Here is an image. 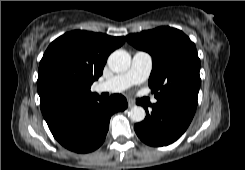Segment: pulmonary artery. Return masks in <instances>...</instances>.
I'll list each match as a JSON object with an SVG mask.
<instances>
[{
	"mask_svg": "<svg viewBox=\"0 0 245 170\" xmlns=\"http://www.w3.org/2000/svg\"><path fill=\"white\" fill-rule=\"evenodd\" d=\"M152 69V57L149 53L137 51L133 55L132 64L128 71L114 75L97 86V90L118 93L132 85L144 82L150 75ZM153 103L157 99L152 100Z\"/></svg>",
	"mask_w": 245,
	"mask_h": 170,
	"instance_id": "e3ab8cb5",
	"label": "pulmonary artery"
}]
</instances>
